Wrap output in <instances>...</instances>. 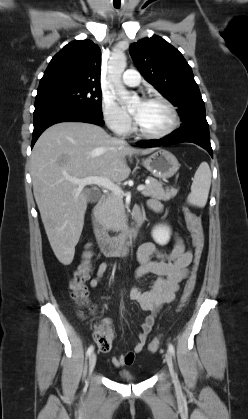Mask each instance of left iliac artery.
I'll return each mask as SVG.
<instances>
[{
	"label": "left iliac artery",
	"mask_w": 248,
	"mask_h": 419,
	"mask_svg": "<svg viewBox=\"0 0 248 419\" xmlns=\"http://www.w3.org/2000/svg\"><path fill=\"white\" fill-rule=\"evenodd\" d=\"M168 349H169V351H170V353H171L172 355H174V354H175V349H174V347H173V345H172V344H169V345H168Z\"/></svg>",
	"instance_id": "1"
}]
</instances>
